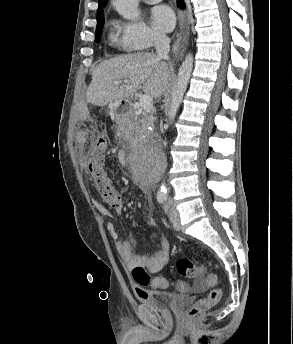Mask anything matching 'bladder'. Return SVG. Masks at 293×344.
Instances as JSON below:
<instances>
[{"label":"bladder","instance_id":"obj_1","mask_svg":"<svg viewBox=\"0 0 293 344\" xmlns=\"http://www.w3.org/2000/svg\"><path fill=\"white\" fill-rule=\"evenodd\" d=\"M140 300L153 309L170 311L180 303L189 300V298L174 292L146 290Z\"/></svg>","mask_w":293,"mask_h":344}]
</instances>
